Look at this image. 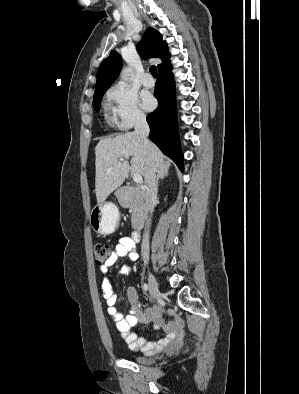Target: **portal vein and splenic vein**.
<instances>
[{
  "instance_id": "18ae733b",
  "label": "portal vein and splenic vein",
  "mask_w": 299,
  "mask_h": 394,
  "mask_svg": "<svg viewBox=\"0 0 299 394\" xmlns=\"http://www.w3.org/2000/svg\"><path fill=\"white\" fill-rule=\"evenodd\" d=\"M120 161L123 162V159L121 158ZM133 179L138 184H142V182H143L142 176L139 173H135L133 175Z\"/></svg>"
}]
</instances>
